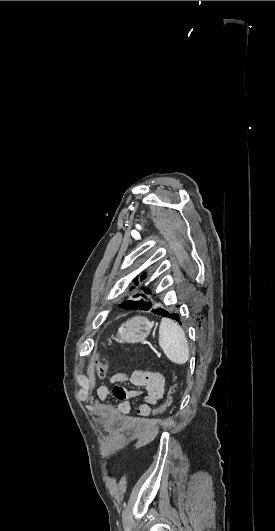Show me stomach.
<instances>
[{
  "label": "stomach",
  "mask_w": 275,
  "mask_h": 531,
  "mask_svg": "<svg viewBox=\"0 0 275 531\" xmlns=\"http://www.w3.org/2000/svg\"><path fill=\"white\" fill-rule=\"evenodd\" d=\"M152 327L153 323L147 317H133L122 323L113 339L123 343H142L150 335Z\"/></svg>",
  "instance_id": "obj_1"
}]
</instances>
